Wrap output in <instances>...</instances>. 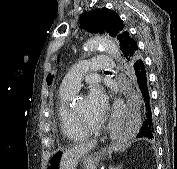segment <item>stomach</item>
I'll return each instance as SVG.
<instances>
[{
  "label": "stomach",
  "instance_id": "1",
  "mask_svg": "<svg viewBox=\"0 0 177 169\" xmlns=\"http://www.w3.org/2000/svg\"><path fill=\"white\" fill-rule=\"evenodd\" d=\"M61 155H62L61 153H56L52 156L48 164V169L59 168ZM105 155H106V149H101L100 151L95 152L94 154L86 155L82 160L83 169H97L100 160H102Z\"/></svg>",
  "mask_w": 177,
  "mask_h": 169
}]
</instances>
